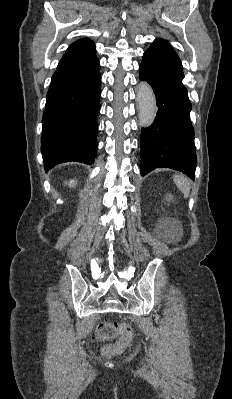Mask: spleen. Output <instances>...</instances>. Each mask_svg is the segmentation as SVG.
<instances>
[{"label": "spleen", "instance_id": "spleen-1", "mask_svg": "<svg viewBox=\"0 0 232 399\" xmlns=\"http://www.w3.org/2000/svg\"><path fill=\"white\" fill-rule=\"evenodd\" d=\"M173 182L182 192L184 198H188L190 194V182L185 178V176H173Z\"/></svg>", "mask_w": 232, "mask_h": 399}]
</instances>
